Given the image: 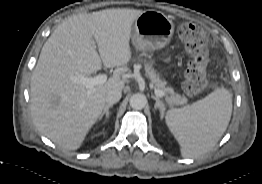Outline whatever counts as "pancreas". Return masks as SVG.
Returning a JSON list of instances; mask_svg holds the SVG:
<instances>
[{
    "label": "pancreas",
    "instance_id": "cf45deb5",
    "mask_svg": "<svg viewBox=\"0 0 262 184\" xmlns=\"http://www.w3.org/2000/svg\"><path fill=\"white\" fill-rule=\"evenodd\" d=\"M145 70L154 86L166 94V100L170 105H183L187 102L184 96L174 92L171 87L166 86V81L160 79L150 64H145Z\"/></svg>",
    "mask_w": 262,
    "mask_h": 184
}]
</instances>
